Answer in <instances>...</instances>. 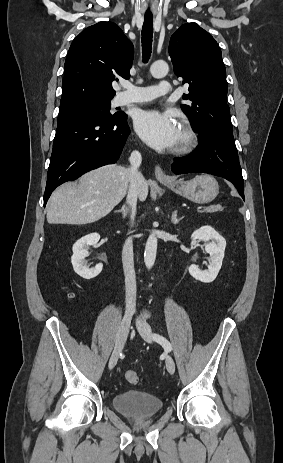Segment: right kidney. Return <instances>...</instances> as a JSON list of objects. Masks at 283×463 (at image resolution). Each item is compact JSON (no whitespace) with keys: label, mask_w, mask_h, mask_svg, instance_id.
Returning <instances> with one entry per match:
<instances>
[{"label":"right kidney","mask_w":283,"mask_h":463,"mask_svg":"<svg viewBox=\"0 0 283 463\" xmlns=\"http://www.w3.org/2000/svg\"><path fill=\"white\" fill-rule=\"evenodd\" d=\"M100 235L97 233L88 234L75 242L71 262L74 271L84 279H92L102 271L103 265L97 264L94 268L86 265L85 257L88 255L87 247L97 244Z\"/></svg>","instance_id":"1"}]
</instances>
